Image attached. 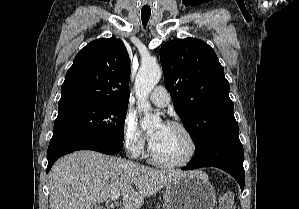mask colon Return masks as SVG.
Masks as SVG:
<instances>
[{
	"label": "colon",
	"mask_w": 299,
	"mask_h": 209,
	"mask_svg": "<svg viewBox=\"0 0 299 209\" xmlns=\"http://www.w3.org/2000/svg\"><path fill=\"white\" fill-rule=\"evenodd\" d=\"M218 209H234V204L231 194H224L218 204Z\"/></svg>",
	"instance_id": "1"
}]
</instances>
